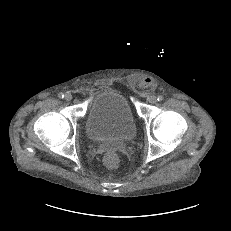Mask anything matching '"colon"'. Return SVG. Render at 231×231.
<instances>
[{"instance_id":"colon-1","label":"colon","mask_w":231,"mask_h":231,"mask_svg":"<svg viewBox=\"0 0 231 231\" xmlns=\"http://www.w3.org/2000/svg\"><path fill=\"white\" fill-rule=\"evenodd\" d=\"M119 156L115 152H108L104 156V163L109 168H115L119 165Z\"/></svg>"}]
</instances>
